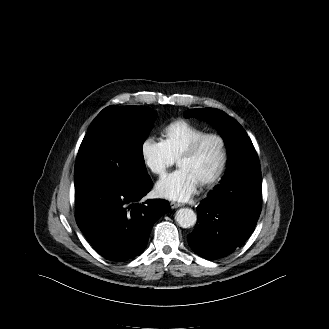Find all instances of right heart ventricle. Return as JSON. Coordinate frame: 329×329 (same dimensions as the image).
<instances>
[{
	"label": "right heart ventricle",
	"mask_w": 329,
	"mask_h": 329,
	"mask_svg": "<svg viewBox=\"0 0 329 329\" xmlns=\"http://www.w3.org/2000/svg\"><path fill=\"white\" fill-rule=\"evenodd\" d=\"M206 133L201 128L189 121L179 119L164 127L162 130V141L171 155L177 159L182 151L197 137Z\"/></svg>",
	"instance_id": "e07e8e85"
}]
</instances>
